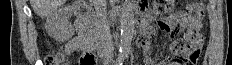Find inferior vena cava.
I'll return each instance as SVG.
<instances>
[{
	"instance_id": "1",
	"label": "inferior vena cava",
	"mask_w": 232,
	"mask_h": 65,
	"mask_svg": "<svg viewBox=\"0 0 232 65\" xmlns=\"http://www.w3.org/2000/svg\"><path fill=\"white\" fill-rule=\"evenodd\" d=\"M97 18L102 53L107 61L114 56V45L110 33V24L107 19V0H92Z\"/></svg>"
}]
</instances>
